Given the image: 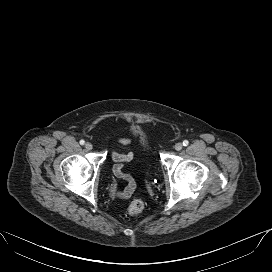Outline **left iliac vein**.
Masks as SVG:
<instances>
[{"instance_id":"obj_1","label":"left iliac vein","mask_w":272,"mask_h":272,"mask_svg":"<svg viewBox=\"0 0 272 272\" xmlns=\"http://www.w3.org/2000/svg\"><path fill=\"white\" fill-rule=\"evenodd\" d=\"M182 147H183V145L180 142L176 143L174 146L175 150H177V151H180L182 149Z\"/></svg>"}]
</instances>
